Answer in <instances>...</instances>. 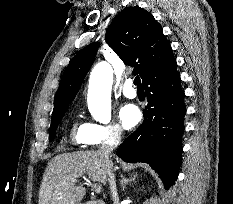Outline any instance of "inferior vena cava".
<instances>
[{"label": "inferior vena cava", "mask_w": 233, "mask_h": 204, "mask_svg": "<svg viewBox=\"0 0 233 204\" xmlns=\"http://www.w3.org/2000/svg\"><path fill=\"white\" fill-rule=\"evenodd\" d=\"M121 140V132L116 131L108 140H106L100 147V153L107 159L109 163V169L107 170L108 182L110 185L111 192L113 196L116 194V184L114 180V175L112 171L115 170L114 161L111 156V152L117 147Z\"/></svg>", "instance_id": "602c4592"}]
</instances>
